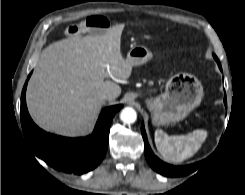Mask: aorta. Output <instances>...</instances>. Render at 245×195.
Returning a JSON list of instances; mask_svg holds the SVG:
<instances>
[{
    "mask_svg": "<svg viewBox=\"0 0 245 195\" xmlns=\"http://www.w3.org/2000/svg\"><path fill=\"white\" fill-rule=\"evenodd\" d=\"M120 118L125 124H132L136 121L137 114L133 108L127 107L121 112Z\"/></svg>",
    "mask_w": 245,
    "mask_h": 195,
    "instance_id": "obj_1",
    "label": "aorta"
}]
</instances>
